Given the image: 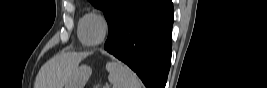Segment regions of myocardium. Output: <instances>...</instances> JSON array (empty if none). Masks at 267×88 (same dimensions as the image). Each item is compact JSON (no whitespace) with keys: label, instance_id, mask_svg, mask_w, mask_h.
Returning a JSON list of instances; mask_svg holds the SVG:
<instances>
[{"label":"myocardium","instance_id":"f54148a6","mask_svg":"<svg viewBox=\"0 0 267 88\" xmlns=\"http://www.w3.org/2000/svg\"><path fill=\"white\" fill-rule=\"evenodd\" d=\"M90 17H94V18H97L102 26H103V33H102V36L99 40H97L96 42H88L85 38V35H84V27H85V22L88 18ZM107 34H108V23H107V20L106 18L101 15V14H98V13H90L86 16L85 20H84V23H83V26H82V29H81V37H82V41L85 45L87 46H97V45H100L107 37Z\"/></svg>","mask_w":267,"mask_h":88}]
</instances>
